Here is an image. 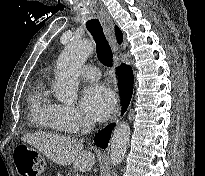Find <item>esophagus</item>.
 Masks as SVG:
<instances>
[{"label":"esophagus","instance_id":"34e87169","mask_svg":"<svg viewBox=\"0 0 205 176\" xmlns=\"http://www.w3.org/2000/svg\"><path fill=\"white\" fill-rule=\"evenodd\" d=\"M98 14H99L101 21L105 27L109 43L111 44V46L113 47V51L117 55V53L119 51V47H118V44L116 43L114 33H113V22L105 10L100 9L98 11ZM120 110H121V106L119 104L116 111H115V114L113 115V117L111 119V122H114L118 118V116L120 114Z\"/></svg>","mask_w":205,"mask_h":176}]
</instances>
